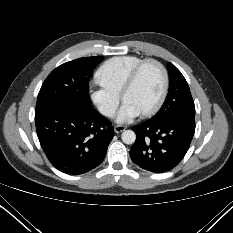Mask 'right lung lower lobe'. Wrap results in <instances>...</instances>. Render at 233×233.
Listing matches in <instances>:
<instances>
[{"mask_svg":"<svg viewBox=\"0 0 233 233\" xmlns=\"http://www.w3.org/2000/svg\"><path fill=\"white\" fill-rule=\"evenodd\" d=\"M39 142L51 164L66 174H83L104 159L114 136L111 123L91 107L58 105L35 113Z\"/></svg>","mask_w":233,"mask_h":233,"instance_id":"right-lung-lower-lobe-1","label":"right lung lower lobe"}]
</instances>
